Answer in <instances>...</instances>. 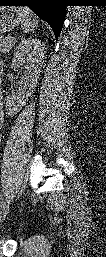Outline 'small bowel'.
Listing matches in <instances>:
<instances>
[{
  "instance_id": "obj_1",
  "label": "small bowel",
  "mask_w": 106,
  "mask_h": 257,
  "mask_svg": "<svg viewBox=\"0 0 106 257\" xmlns=\"http://www.w3.org/2000/svg\"><path fill=\"white\" fill-rule=\"evenodd\" d=\"M3 113H2V111H1V125H2V123H3V115H2Z\"/></svg>"
}]
</instances>
